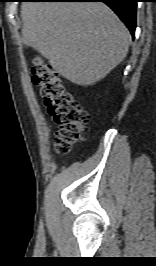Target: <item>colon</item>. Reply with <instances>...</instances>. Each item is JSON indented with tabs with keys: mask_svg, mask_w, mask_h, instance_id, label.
<instances>
[{
	"mask_svg": "<svg viewBox=\"0 0 156 266\" xmlns=\"http://www.w3.org/2000/svg\"><path fill=\"white\" fill-rule=\"evenodd\" d=\"M32 73L33 82L40 87L48 111L58 125L56 151L66 154L82 139L89 115L65 89L57 73L41 57L34 59Z\"/></svg>",
	"mask_w": 156,
	"mask_h": 266,
	"instance_id": "5ec220e1",
	"label": "colon"
}]
</instances>
